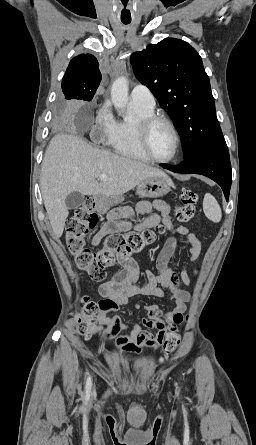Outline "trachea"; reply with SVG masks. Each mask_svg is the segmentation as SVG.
Wrapping results in <instances>:
<instances>
[{
  "label": "trachea",
  "mask_w": 256,
  "mask_h": 445,
  "mask_svg": "<svg viewBox=\"0 0 256 445\" xmlns=\"http://www.w3.org/2000/svg\"><path fill=\"white\" fill-rule=\"evenodd\" d=\"M122 22H123L124 24H129V23H130V20H122Z\"/></svg>",
  "instance_id": "obj_1"
}]
</instances>
